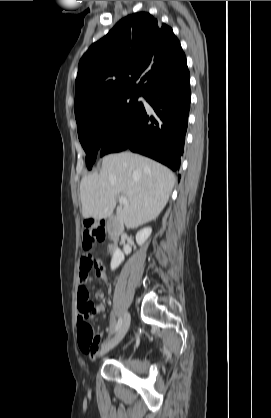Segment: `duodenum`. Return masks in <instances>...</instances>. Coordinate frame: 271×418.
<instances>
[{
	"mask_svg": "<svg viewBox=\"0 0 271 418\" xmlns=\"http://www.w3.org/2000/svg\"><path fill=\"white\" fill-rule=\"evenodd\" d=\"M120 236H121V234L120 233H117V232H115V233H113V235H112V240H113V243H112V245H111V250H113L114 248H115V246H116V242L119 240V238H120Z\"/></svg>",
	"mask_w": 271,
	"mask_h": 418,
	"instance_id": "410a0bca",
	"label": "duodenum"
}]
</instances>
